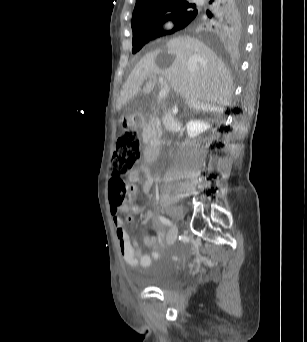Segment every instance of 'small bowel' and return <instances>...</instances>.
<instances>
[{"label": "small bowel", "instance_id": "small-bowel-1", "mask_svg": "<svg viewBox=\"0 0 307 342\" xmlns=\"http://www.w3.org/2000/svg\"><path fill=\"white\" fill-rule=\"evenodd\" d=\"M145 174L144 169H140L138 171H134L131 173L130 180L133 183L132 191L136 190L134 184L140 181L141 174ZM150 188V181L146 179L143 183V192L147 193ZM114 210V208H113ZM115 211V210H114ZM124 213H128L129 210L127 207L122 208ZM153 217V213L151 211H146L143 216L141 223L146 224ZM126 219V218H125ZM127 221H130L126 219ZM113 225L115 228L116 239L119 247L120 254L123 260L130 267H138L141 266L146 268L150 265L153 258H158L159 256V239L164 237V232L160 228L158 224H154V228L159 231L158 236H145L144 243L151 247L152 253L151 255L144 254L142 246L135 240L131 239L128 231L125 227V222L119 216L113 217Z\"/></svg>", "mask_w": 307, "mask_h": 342}]
</instances>
